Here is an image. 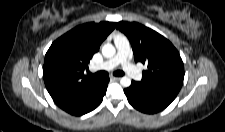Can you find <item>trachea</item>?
Wrapping results in <instances>:
<instances>
[{
    "mask_svg": "<svg viewBox=\"0 0 225 132\" xmlns=\"http://www.w3.org/2000/svg\"><path fill=\"white\" fill-rule=\"evenodd\" d=\"M107 75H108L107 72H105V71H99V72L95 73L93 76H95V77H105V76H107ZM114 75H115V76H123V75H124V72L118 70V71H115V72H114Z\"/></svg>",
    "mask_w": 225,
    "mask_h": 132,
    "instance_id": "1",
    "label": "trachea"
}]
</instances>
